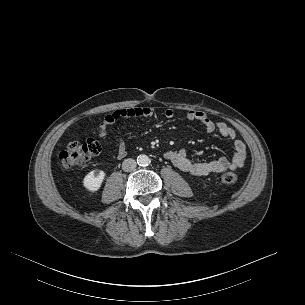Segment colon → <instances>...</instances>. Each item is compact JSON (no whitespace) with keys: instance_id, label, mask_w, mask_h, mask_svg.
Returning a JSON list of instances; mask_svg holds the SVG:
<instances>
[{"instance_id":"obj_1","label":"colon","mask_w":305,"mask_h":305,"mask_svg":"<svg viewBox=\"0 0 305 305\" xmlns=\"http://www.w3.org/2000/svg\"><path fill=\"white\" fill-rule=\"evenodd\" d=\"M100 152V144L95 139L90 138L84 142L71 141L60 153L59 160L63 167L73 168L87 163ZM236 181L237 176L233 172H223L219 176V182L225 185L234 184Z\"/></svg>"}]
</instances>
